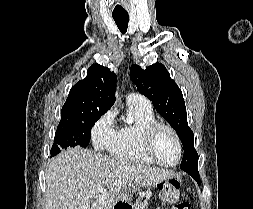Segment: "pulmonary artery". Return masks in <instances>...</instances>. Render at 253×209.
<instances>
[{"label":"pulmonary artery","instance_id":"pulmonary-artery-1","mask_svg":"<svg viewBox=\"0 0 253 209\" xmlns=\"http://www.w3.org/2000/svg\"><path fill=\"white\" fill-rule=\"evenodd\" d=\"M127 102H144L150 103L149 100L141 94L138 93H130L127 96Z\"/></svg>","mask_w":253,"mask_h":209}]
</instances>
